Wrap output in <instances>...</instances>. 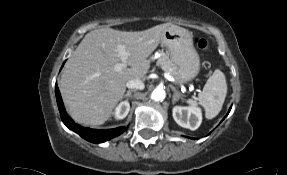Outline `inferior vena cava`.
I'll return each instance as SVG.
<instances>
[{
    "mask_svg": "<svg viewBox=\"0 0 287 175\" xmlns=\"http://www.w3.org/2000/svg\"><path fill=\"white\" fill-rule=\"evenodd\" d=\"M126 86L128 88H135V89H139V90H143L145 85L144 83L139 80V79H132V80H129L127 83H126Z\"/></svg>",
    "mask_w": 287,
    "mask_h": 175,
    "instance_id": "602c4592",
    "label": "inferior vena cava"
}]
</instances>
